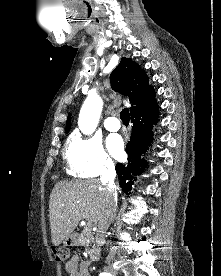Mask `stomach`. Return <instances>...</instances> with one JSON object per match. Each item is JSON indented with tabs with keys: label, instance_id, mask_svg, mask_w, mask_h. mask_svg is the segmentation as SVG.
<instances>
[{
	"label": "stomach",
	"instance_id": "obj_1",
	"mask_svg": "<svg viewBox=\"0 0 221 276\" xmlns=\"http://www.w3.org/2000/svg\"><path fill=\"white\" fill-rule=\"evenodd\" d=\"M78 235L76 233H71L64 241L65 246H75L77 245Z\"/></svg>",
	"mask_w": 221,
	"mask_h": 276
}]
</instances>
